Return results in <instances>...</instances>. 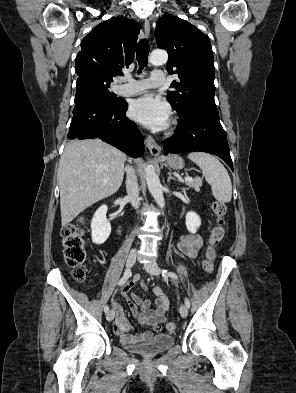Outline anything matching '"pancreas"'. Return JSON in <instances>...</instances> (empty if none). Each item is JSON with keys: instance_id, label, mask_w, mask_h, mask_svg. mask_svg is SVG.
<instances>
[{"instance_id": "1", "label": "pancreas", "mask_w": 296, "mask_h": 393, "mask_svg": "<svg viewBox=\"0 0 296 393\" xmlns=\"http://www.w3.org/2000/svg\"><path fill=\"white\" fill-rule=\"evenodd\" d=\"M185 184L191 188H194L198 192L202 186V180L200 178L193 179L192 181L185 180Z\"/></svg>"}]
</instances>
